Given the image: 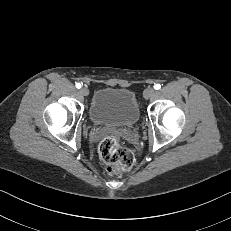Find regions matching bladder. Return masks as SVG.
<instances>
[{"label":"bladder","instance_id":"1","mask_svg":"<svg viewBox=\"0 0 231 231\" xmlns=\"http://www.w3.org/2000/svg\"><path fill=\"white\" fill-rule=\"evenodd\" d=\"M89 117L97 125L132 127L140 117L137 98L127 88H101L93 95Z\"/></svg>","mask_w":231,"mask_h":231}]
</instances>
